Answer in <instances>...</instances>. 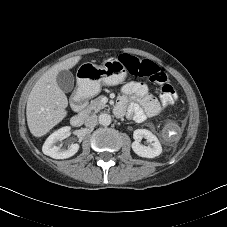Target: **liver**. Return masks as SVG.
<instances>
[{"label":"liver","instance_id":"liver-1","mask_svg":"<svg viewBox=\"0 0 227 227\" xmlns=\"http://www.w3.org/2000/svg\"><path fill=\"white\" fill-rule=\"evenodd\" d=\"M80 60L81 56H75L55 64L35 83L26 106L27 124L33 136H44L66 117L68 99L58 86L57 75Z\"/></svg>","mask_w":227,"mask_h":227}]
</instances>
